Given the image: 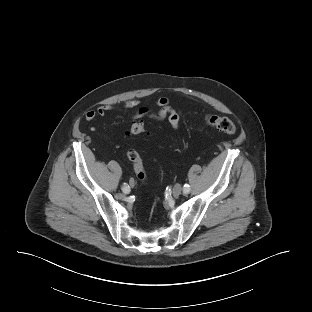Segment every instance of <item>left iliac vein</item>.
<instances>
[{
    "label": "left iliac vein",
    "mask_w": 312,
    "mask_h": 312,
    "mask_svg": "<svg viewBox=\"0 0 312 312\" xmlns=\"http://www.w3.org/2000/svg\"><path fill=\"white\" fill-rule=\"evenodd\" d=\"M182 192V187L179 184H176L173 188V195L178 197Z\"/></svg>",
    "instance_id": "4c4485c4"
}]
</instances>
